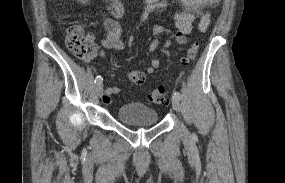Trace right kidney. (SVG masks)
<instances>
[{
    "instance_id": "obj_1",
    "label": "right kidney",
    "mask_w": 285,
    "mask_h": 183,
    "mask_svg": "<svg viewBox=\"0 0 285 183\" xmlns=\"http://www.w3.org/2000/svg\"><path fill=\"white\" fill-rule=\"evenodd\" d=\"M77 1L84 4V3H87L89 0H77Z\"/></svg>"
}]
</instances>
